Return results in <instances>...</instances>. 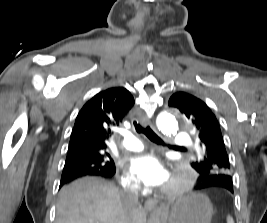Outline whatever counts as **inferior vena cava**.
Wrapping results in <instances>:
<instances>
[{
    "label": "inferior vena cava",
    "mask_w": 267,
    "mask_h": 223,
    "mask_svg": "<svg viewBox=\"0 0 267 223\" xmlns=\"http://www.w3.org/2000/svg\"><path fill=\"white\" fill-rule=\"evenodd\" d=\"M138 184H130L122 192V199L127 212H130L134 207H136L138 202ZM126 223H130V219H126Z\"/></svg>",
    "instance_id": "inferior-vena-cava-1"
}]
</instances>
